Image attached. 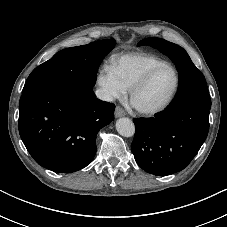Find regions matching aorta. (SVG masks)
<instances>
[{
	"label": "aorta",
	"mask_w": 227,
	"mask_h": 227,
	"mask_svg": "<svg viewBox=\"0 0 227 227\" xmlns=\"http://www.w3.org/2000/svg\"><path fill=\"white\" fill-rule=\"evenodd\" d=\"M116 130L121 136L131 137L135 133V125L129 118H119L116 121Z\"/></svg>",
	"instance_id": "762f6f07"
}]
</instances>
